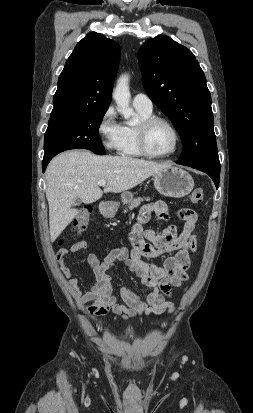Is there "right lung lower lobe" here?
<instances>
[{"mask_svg":"<svg viewBox=\"0 0 253 413\" xmlns=\"http://www.w3.org/2000/svg\"><path fill=\"white\" fill-rule=\"evenodd\" d=\"M91 151L94 152L95 154H98V155H105L104 149H94V150H91ZM53 157H54V156L43 159V164H42V170H43V172L45 171L48 163L50 162V160H51Z\"/></svg>","mask_w":253,"mask_h":413,"instance_id":"98d812e1","label":"right lung lower lobe"}]
</instances>
